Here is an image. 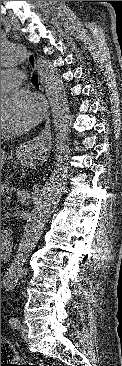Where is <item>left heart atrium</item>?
Segmentation results:
<instances>
[{"instance_id": "1", "label": "left heart atrium", "mask_w": 122, "mask_h": 366, "mask_svg": "<svg viewBox=\"0 0 122 366\" xmlns=\"http://www.w3.org/2000/svg\"><path fill=\"white\" fill-rule=\"evenodd\" d=\"M44 113V105L33 93L21 91L10 100L5 115V128L11 132L27 131L36 126Z\"/></svg>"}]
</instances>
